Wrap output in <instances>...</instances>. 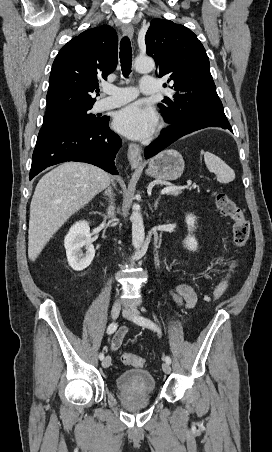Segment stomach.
Returning <instances> with one entry per match:
<instances>
[{"mask_svg": "<svg viewBox=\"0 0 272 452\" xmlns=\"http://www.w3.org/2000/svg\"><path fill=\"white\" fill-rule=\"evenodd\" d=\"M182 155L173 149H167L152 158L149 162L146 174L160 180H176L184 170Z\"/></svg>", "mask_w": 272, "mask_h": 452, "instance_id": "obj_1", "label": "stomach"}]
</instances>
